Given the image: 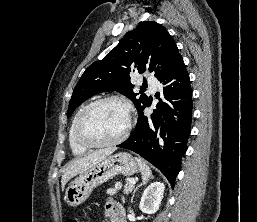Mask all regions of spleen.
<instances>
[{"label":"spleen","instance_id":"1","mask_svg":"<svg viewBox=\"0 0 257 222\" xmlns=\"http://www.w3.org/2000/svg\"><path fill=\"white\" fill-rule=\"evenodd\" d=\"M136 160L138 161L139 166H140L143 184H145L146 181H148L149 177L152 176V171L145 161H143L140 158H136Z\"/></svg>","mask_w":257,"mask_h":222}]
</instances>
